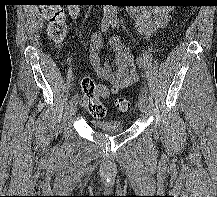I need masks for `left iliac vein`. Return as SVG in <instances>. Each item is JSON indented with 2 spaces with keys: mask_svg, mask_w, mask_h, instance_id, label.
I'll return each mask as SVG.
<instances>
[{
  "mask_svg": "<svg viewBox=\"0 0 217 197\" xmlns=\"http://www.w3.org/2000/svg\"><path fill=\"white\" fill-rule=\"evenodd\" d=\"M138 107H139V110L142 113H146L147 112V109H148V107H147V98L143 94L139 95V98H138Z\"/></svg>",
  "mask_w": 217,
  "mask_h": 197,
  "instance_id": "left-iliac-vein-1",
  "label": "left iliac vein"
}]
</instances>
